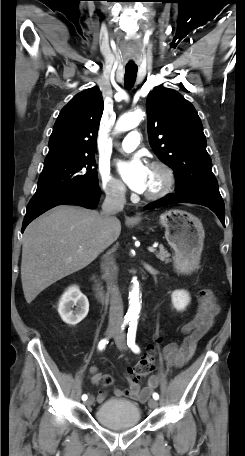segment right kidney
Instances as JSON below:
<instances>
[{
  "label": "right kidney",
  "mask_w": 245,
  "mask_h": 456,
  "mask_svg": "<svg viewBox=\"0 0 245 456\" xmlns=\"http://www.w3.org/2000/svg\"><path fill=\"white\" fill-rule=\"evenodd\" d=\"M74 306H76L75 310H73ZM88 311L89 301L78 286L69 287L59 301L58 313L61 319L70 326L81 322L87 316Z\"/></svg>",
  "instance_id": "ca27d5eb"
}]
</instances>
